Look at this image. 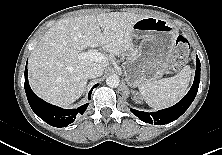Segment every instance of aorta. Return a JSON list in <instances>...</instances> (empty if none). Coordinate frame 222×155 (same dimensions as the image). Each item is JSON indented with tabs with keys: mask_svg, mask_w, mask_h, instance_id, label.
<instances>
[{
	"mask_svg": "<svg viewBox=\"0 0 222 155\" xmlns=\"http://www.w3.org/2000/svg\"><path fill=\"white\" fill-rule=\"evenodd\" d=\"M120 83V79L117 75H110L109 77H107L106 79V84L111 87V88H116L119 86Z\"/></svg>",
	"mask_w": 222,
	"mask_h": 155,
	"instance_id": "aorta-1",
	"label": "aorta"
}]
</instances>
